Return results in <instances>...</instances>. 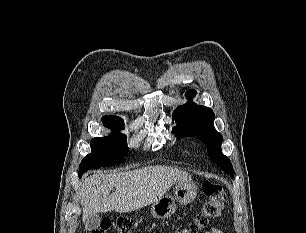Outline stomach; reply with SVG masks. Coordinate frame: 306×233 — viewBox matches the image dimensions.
Returning <instances> with one entry per match:
<instances>
[{
	"mask_svg": "<svg viewBox=\"0 0 306 233\" xmlns=\"http://www.w3.org/2000/svg\"><path fill=\"white\" fill-rule=\"evenodd\" d=\"M197 195V186L192 180H182L176 182L174 197L165 195L151 206V213L154 217L165 219L174 214L177 203L186 205L191 203Z\"/></svg>",
	"mask_w": 306,
	"mask_h": 233,
	"instance_id": "stomach-1",
	"label": "stomach"
}]
</instances>
